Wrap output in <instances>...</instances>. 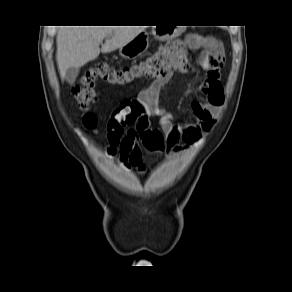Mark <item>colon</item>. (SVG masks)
Masks as SVG:
<instances>
[{
    "label": "colon",
    "mask_w": 292,
    "mask_h": 292,
    "mask_svg": "<svg viewBox=\"0 0 292 292\" xmlns=\"http://www.w3.org/2000/svg\"><path fill=\"white\" fill-rule=\"evenodd\" d=\"M196 44L197 38H190ZM185 62V52L180 42H171L160 47L145 61L131 67H114L108 63H101L87 70L72 87V95L83 110L95 102L94 84L98 79L113 85H126L135 79L164 78L167 74ZM160 89L152 85L138 98L124 100L112 112L106 127L108 151L114 153L119 146L125 129L132 124L141 130L142 145L150 155L158 154L163 148V136L159 130L152 128L150 122L161 112ZM84 126L93 129L96 117L87 113L83 117Z\"/></svg>",
    "instance_id": "colon-1"
}]
</instances>
